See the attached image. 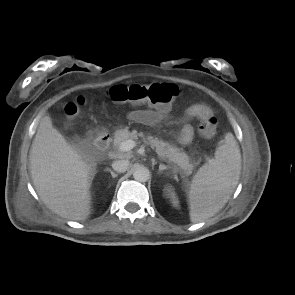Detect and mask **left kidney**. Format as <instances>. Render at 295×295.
<instances>
[{
	"instance_id": "5707ae66",
	"label": "left kidney",
	"mask_w": 295,
	"mask_h": 295,
	"mask_svg": "<svg viewBox=\"0 0 295 295\" xmlns=\"http://www.w3.org/2000/svg\"><path fill=\"white\" fill-rule=\"evenodd\" d=\"M165 190H166V193H167L168 197L171 199L173 205L178 206L179 201H178L173 189L169 186V187H166Z\"/></svg>"
}]
</instances>
